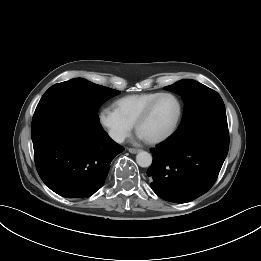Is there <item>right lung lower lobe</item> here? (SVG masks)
Returning a JSON list of instances; mask_svg holds the SVG:
<instances>
[{
	"instance_id": "obj_1",
	"label": "right lung lower lobe",
	"mask_w": 261,
	"mask_h": 261,
	"mask_svg": "<svg viewBox=\"0 0 261 261\" xmlns=\"http://www.w3.org/2000/svg\"><path fill=\"white\" fill-rule=\"evenodd\" d=\"M35 164L43 182L63 197H89L104 183L124 148L99 122L56 114L32 124Z\"/></svg>"
}]
</instances>
